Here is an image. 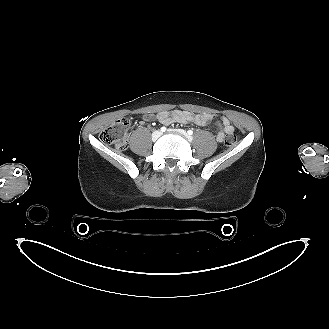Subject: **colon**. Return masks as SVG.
Wrapping results in <instances>:
<instances>
[{
  "instance_id": "1",
  "label": "colon",
  "mask_w": 329,
  "mask_h": 329,
  "mask_svg": "<svg viewBox=\"0 0 329 329\" xmlns=\"http://www.w3.org/2000/svg\"><path fill=\"white\" fill-rule=\"evenodd\" d=\"M130 125L128 119H119L114 124L105 127L101 130L99 137L100 140L108 145H113L118 148H124L127 144V129ZM237 142V136L233 133L227 135L224 144L232 147Z\"/></svg>"
}]
</instances>
